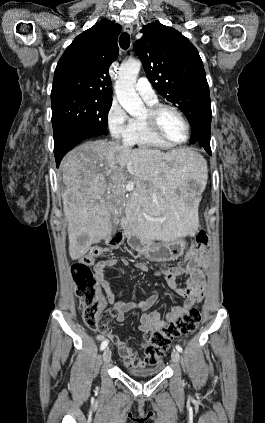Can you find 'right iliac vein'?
Returning <instances> with one entry per match:
<instances>
[{
  "instance_id": "63e3f726",
  "label": "right iliac vein",
  "mask_w": 265,
  "mask_h": 423,
  "mask_svg": "<svg viewBox=\"0 0 265 423\" xmlns=\"http://www.w3.org/2000/svg\"><path fill=\"white\" fill-rule=\"evenodd\" d=\"M110 360H111V350L107 348L103 352V362L105 364H108Z\"/></svg>"
}]
</instances>
